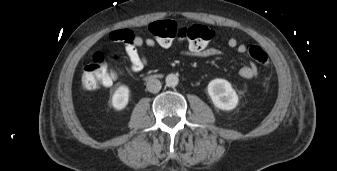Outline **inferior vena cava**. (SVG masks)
<instances>
[{
	"label": "inferior vena cava",
	"instance_id": "obj_1",
	"mask_svg": "<svg viewBox=\"0 0 337 171\" xmlns=\"http://www.w3.org/2000/svg\"><path fill=\"white\" fill-rule=\"evenodd\" d=\"M161 87H162V84H161V82L158 79L152 78V79H149L147 81L146 88L151 93H157V92H159L160 89H161Z\"/></svg>",
	"mask_w": 337,
	"mask_h": 171
}]
</instances>
